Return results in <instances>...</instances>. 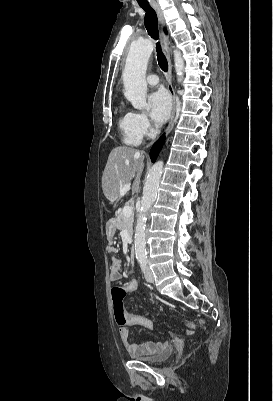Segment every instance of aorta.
I'll return each mask as SVG.
<instances>
[{"mask_svg":"<svg viewBox=\"0 0 273 401\" xmlns=\"http://www.w3.org/2000/svg\"><path fill=\"white\" fill-rule=\"evenodd\" d=\"M154 45L149 39H144L134 43L128 53L123 72L124 95L135 109H147L146 93V70L148 60L152 54ZM174 66L178 81H182L184 62L181 53L174 50ZM164 163L156 162L150 169L143 188V197L141 200V209L138 214L135 228V254L138 260L146 258V220L147 214L154 203L159 183L163 173Z\"/></svg>","mask_w":273,"mask_h":401,"instance_id":"obj_1","label":"aorta"}]
</instances>
